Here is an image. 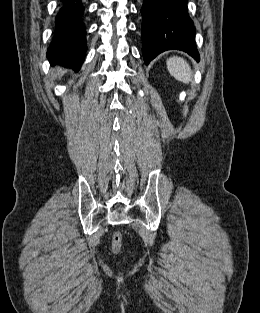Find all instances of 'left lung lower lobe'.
<instances>
[{
    "mask_svg": "<svg viewBox=\"0 0 260 313\" xmlns=\"http://www.w3.org/2000/svg\"><path fill=\"white\" fill-rule=\"evenodd\" d=\"M188 0H143L142 52L147 65L169 49L188 52L196 60L195 27L187 13Z\"/></svg>",
    "mask_w": 260,
    "mask_h": 313,
    "instance_id": "obj_1",
    "label": "left lung lower lobe"
}]
</instances>
